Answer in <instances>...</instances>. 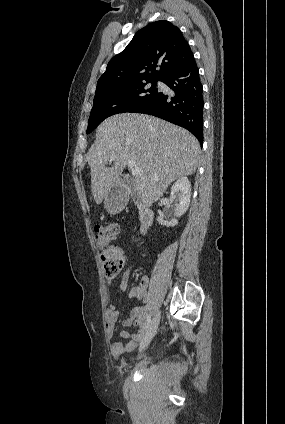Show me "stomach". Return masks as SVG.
Returning a JSON list of instances; mask_svg holds the SVG:
<instances>
[{
  "label": "stomach",
  "mask_w": 285,
  "mask_h": 424,
  "mask_svg": "<svg viewBox=\"0 0 285 424\" xmlns=\"http://www.w3.org/2000/svg\"><path fill=\"white\" fill-rule=\"evenodd\" d=\"M104 206L109 213L114 214L118 212L123 205L120 202V197L114 191H110L104 199Z\"/></svg>",
  "instance_id": "0dacf381"
}]
</instances>
